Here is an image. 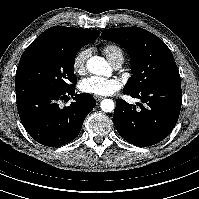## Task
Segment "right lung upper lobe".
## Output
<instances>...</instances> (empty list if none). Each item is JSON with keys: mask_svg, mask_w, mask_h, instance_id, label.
Listing matches in <instances>:
<instances>
[{"mask_svg": "<svg viewBox=\"0 0 199 199\" xmlns=\"http://www.w3.org/2000/svg\"><path fill=\"white\" fill-rule=\"evenodd\" d=\"M99 34V30L54 26L40 34L37 39H47L64 46H72L81 43L88 44L94 41Z\"/></svg>", "mask_w": 199, "mask_h": 199, "instance_id": "right-lung-upper-lobe-1", "label": "right lung upper lobe"}]
</instances>
